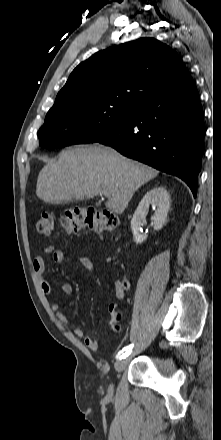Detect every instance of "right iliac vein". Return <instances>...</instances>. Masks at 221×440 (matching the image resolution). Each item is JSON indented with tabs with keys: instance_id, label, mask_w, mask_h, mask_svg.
<instances>
[{
	"instance_id": "63e3f726",
	"label": "right iliac vein",
	"mask_w": 221,
	"mask_h": 440,
	"mask_svg": "<svg viewBox=\"0 0 221 440\" xmlns=\"http://www.w3.org/2000/svg\"><path fill=\"white\" fill-rule=\"evenodd\" d=\"M129 362V359H120L115 363V369L116 371L120 372L125 369ZM109 395H113V385H110L109 387Z\"/></svg>"
}]
</instances>
